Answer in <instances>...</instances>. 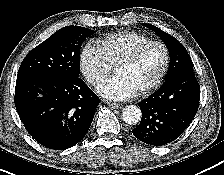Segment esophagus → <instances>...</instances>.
Segmentation results:
<instances>
[{"mask_svg":"<svg viewBox=\"0 0 224 175\" xmlns=\"http://www.w3.org/2000/svg\"><path fill=\"white\" fill-rule=\"evenodd\" d=\"M108 106L114 108V109H119L122 107V104L119 103H114V102H107Z\"/></svg>","mask_w":224,"mask_h":175,"instance_id":"34e87169","label":"esophagus"}]
</instances>
